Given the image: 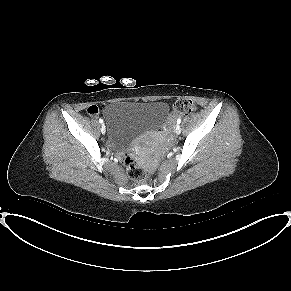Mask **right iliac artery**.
Instances as JSON below:
<instances>
[{"label": "right iliac artery", "mask_w": 291, "mask_h": 291, "mask_svg": "<svg viewBox=\"0 0 291 291\" xmlns=\"http://www.w3.org/2000/svg\"><path fill=\"white\" fill-rule=\"evenodd\" d=\"M99 122H100V123H103V120L100 118V119H99Z\"/></svg>", "instance_id": "82829eb1"}]
</instances>
